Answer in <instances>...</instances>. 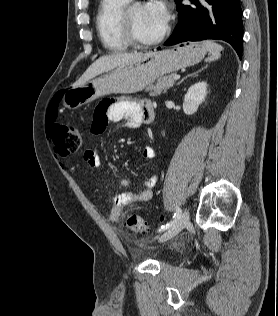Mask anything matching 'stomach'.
Masks as SVG:
<instances>
[{
	"mask_svg": "<svg viewBox=\"0 0 278 316\" xmlns=\"http://www.w3.org/2000/svg\"><path fill=\"white\" fill-rule=\"evenodd\" d=\"M207 50L199 43L157 52L137 63L118 67L112 72L64 92L62 101L68 109H77L112 93H135L157 78L199 63Z\"/></svg>",
	"mask_w": 278,
	"mask_h": 316,
	"instance_id": "obj_1",
	"label": "stomach"
}]
</instances>
